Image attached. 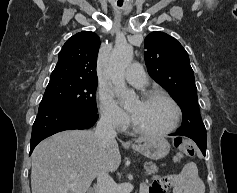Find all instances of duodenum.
I'll return each instance as SVG.
<instances>
[{"mask_svg":"<svg viewBox=\"0 0 237 193\" xmlns=\"http://www.w3.org/2000/svg\"><path fill=\"white\" fill-rule=\"evenodd\" d=\"M89 193H96L95 191H90Z\"/></svg>","mask_w":237,"mask_h":193,"instance_id":"410a0bca","label":"duodenum"}]
</instances>
